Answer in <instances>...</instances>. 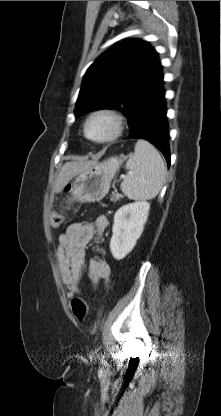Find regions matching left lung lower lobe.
Masks as SVG:
<instances>
[{
  "mask_svg": "<svg viewBox=\"0 0 221 416\" xmlns=\"http://www.w3.org/2000/svg\"><path fill=\"white\" fill-rule=\"evenodd\" d=\"M165 106L163 75L158 83L139 102L134 118L129 125L128 138L145 139L155 145L170 165L169 130Z\"/></svg>",
  "mask_w": 221,
  "mask_h": 416,
  "instance_id": "0a47b994",
  "label": "left lung lower lobe"
}]
</instances>
